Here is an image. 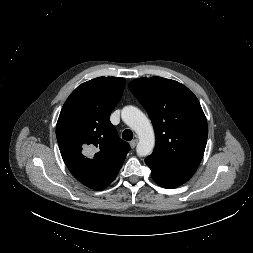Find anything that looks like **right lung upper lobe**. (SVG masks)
Masks as SVG:
<instances>
[{
    "label": "right lung upper lobe",
    "mask_w": 253,
    "mask_h": 253,
    "mask_svg": "<svg viewBox=\"0 0 253 253\" xmlns=\"http://www.w3.org/2000/svg\"><path fill=\"white\" fill-rule=\"evenodd\" d=\"M124 86L125 79L118 77H98L79 85L64 103L57 121L56 137L66 166L94 190L112 183L130 150L110 122ZM85 148L93 155L85 156Z\"/></svg>",
    "instance_id": "1"
}]
</instances>
